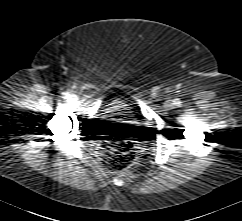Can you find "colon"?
Masks as SVG:
<instances>
[{
  "mask_svg": "<svg viewBox=\"0 0 242 221\" xmlns=\"http://www.w3.org/2000/svg\"><path fill=\"white\" fill-rule=\"evenodd\" d=\"M101 155L106 168L120 172L132 165L136 158V150L129 141L114 140L102 144Z\"/></svg>",
  "mask_w": 242,
  "mask_h": 221,
  "instance_id": "1",
  "label": "colon"
}]
</instances>
